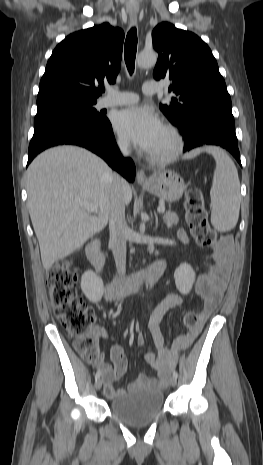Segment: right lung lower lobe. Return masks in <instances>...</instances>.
<instances>
[{
  "label": "right lung lower lobe",
  "instance_id": "98d812e1",
  "mask_svg": "<svg viewBox=\"0 0 263 465\" xmlns=\"http://www.w3.org/2000/svg\"><path fill=\"white\" fill-rule=\"evenodd\" d=\"M62 144L84 147L102 157L128 181L132 182L135 178L134 163L130 158L122 157L108 119L98 123L73 118H53L35 124L27 165L41 151Z\"/></svg>",
  "mask_w": 263,
  "mask_h": 465
}]
</instances>
